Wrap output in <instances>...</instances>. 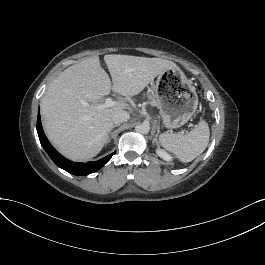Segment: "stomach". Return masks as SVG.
Listing matches in <instances>:
<instances>
[{
    "instance_id": "obj_1",
    "label": "stomach",
    "mask_w": 265,
    "mask_h": 265,
    "mask_svg": "<svg viewBox=\"0 0 265 265\" xmlns=\"http://www.w3.org/2000/svg\"><path fill=\"white\" fill-rule=\"evenodd\" d=\"M154 95L166 128L175 129L184 125L198 106L195 88L179 68H171L159 74Z\"/></svg>"
}]
</instances>
